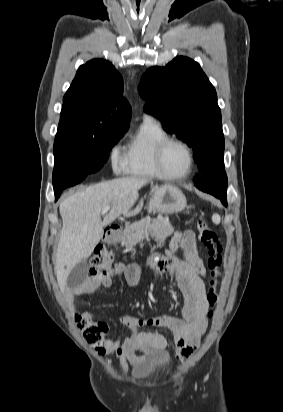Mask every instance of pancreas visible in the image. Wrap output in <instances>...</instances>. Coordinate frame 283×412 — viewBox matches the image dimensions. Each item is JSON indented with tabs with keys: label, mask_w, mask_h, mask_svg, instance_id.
<instances>
[{
	"label": "pancreas",
	"mask_w": 283,
	"mask_h": 412,
	"mask_svg": "<svg viewBox=\"0 0 283 412\" xmlns=\"http://www.w3.org/2000/svg\"><path fill=\"white\" fill-rule=\"evenodd\" d=\"M173 232L174 228L167 217L145 218L128 225L122 233L121 240L126 248H132L149 235L159 240L170 236Z\"/></svg>",
	"instance_id": "cf45deb5"
}]
</instances>
